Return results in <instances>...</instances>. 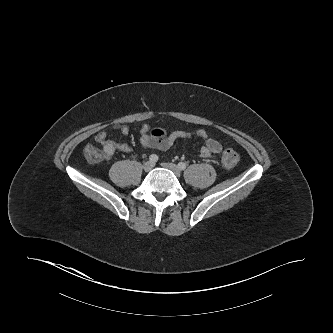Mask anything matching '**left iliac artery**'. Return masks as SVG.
<instances>
[{
	"label": "left iliac artery",
	"mask_w": 333,
	"mask_h": 333,
	"mask_svg": "<svg viewBox=\"0 0 333 333\" xmlns=\"http://www.w3.org/2000/svg\"><path fill=\"white\" fill-rule=\"evenodd\" d=\"M178 167L180 170H184V169H186L187 165L184 162H180V163H178Z\"/></svg>",
	"instance_id": "44dca946"
}]
</instances>
